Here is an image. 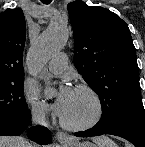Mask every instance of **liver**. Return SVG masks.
Here are the masks:
<instances>
[{"label":"liver","instance_id":"1","mask_svg":"<svg viewBox=\"0 0 145 147\" xmlns=\"http://www.w3.org/2000/svg\"><path fill=\"white\" fill-rule=\"evenodd\" d=\"M102 138H97V144ZM30 144L22 137H6L0 136V147H30Z\"/></svg>","mask_w":145,"mask_h":147}]
</instances>
